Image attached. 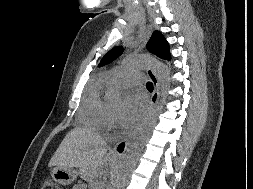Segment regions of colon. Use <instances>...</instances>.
<instances>
[{"instance_id":"1","label":"colon","mask_w":253,"mask_h":189,"mask_svg":"<svg viewBox=\"0 0 253 189\" xmlns=\"http://www.w3.org/2000/svg\"><path fill=\"white\" fill-rule=\"evenodd\" d=\"M41 189H61V188L53 179L46 178L43 181Z\"/></svg>"}]
</instances>
